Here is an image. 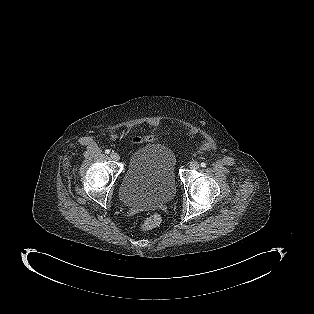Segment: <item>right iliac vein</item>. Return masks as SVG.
I'll list each match as a JSON object with an SVG mask.
<instances>
[{
    "instance_id": "right-iliac-vein-1",
    "label": "right iliac vein",
    "mask_w": 314,
    "mask_h": 314,
    "mask_svg": "<svg viewBox=\"0 0 314 314\" xmlns=\"http://www.w3.org/2000/svg\"><path fill=\"white\" fill-rule=\"evenodd\" d=\"M110 157H111L112 160H115V161H118L120 159L119 154H117L116 152H112L110 154Z\"/></svg>"
}]
</instances>
